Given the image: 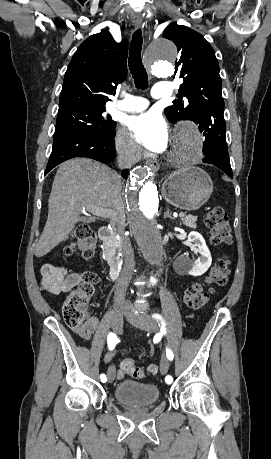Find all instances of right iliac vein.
Here are the masks:
<instances>
[{
  "label": "right iliac vein",
  "instance_id": "right-iliac-vein-1",
  "mask_svg": "<svg viewBox=\"0 0 271 459\" xmlns=\"http://www.w3.org/2000/svg\"><path fill=\"white\" fill-rule=\"evenodd\" d=\"M123 325H124L123 315L118 310L112 319V327L117 333H121ZM115 374H116V368L114 365H111L107 370L108 382H112L114 380Z\"/></svg>",
  "mask_w": 271,
  "mask_h": 459
}]
</instances>
